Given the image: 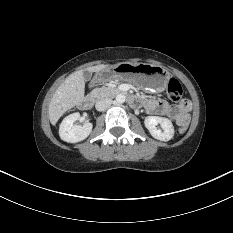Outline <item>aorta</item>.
<instances>
[{"label":"aorta","mask_w":233,"mask_h":233,"mask_svg":"<svg viewBox=\"0 0 233 233\" xmlns=\"http://www.w3.org/2000/svg\"><path fill=\"white\" fill-rule=\"evenodd\" d=\"M125 100H126V97H125V95H123V94H118V95L116 96V102H117V103H124Z\"/></svg>","instance_id":"obj_1"}]
</instances>
